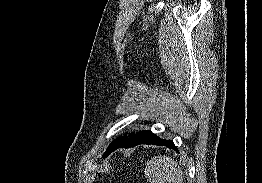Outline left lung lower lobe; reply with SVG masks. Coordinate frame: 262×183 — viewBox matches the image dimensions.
Here are the masks:
<instances>
[{"instance_id": "left-lung-lower-lobe-1", "label": "left lung lower lobe", "mask_w": 262, "mask_h": 183, "mask_svg": "<svg viewBox=\"0 0 262 183\" xmlns=\"http://www.w3.org/2000/svg\"><path fill=\"white\" fill-rule=\"evenodd\" d=\"M139 144L161 145L168 148H174L177 151L176 146L174 145L172 140L161 139L153 134L151 131H140L136 134L131 135L130 138L123 137L116 140L105 153L104 157L108 156L119 147L130 148Z\"/></svg>"}]
</instances>
